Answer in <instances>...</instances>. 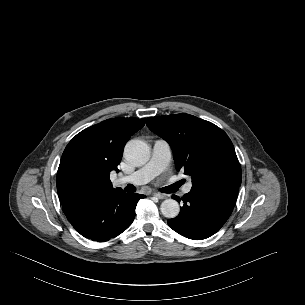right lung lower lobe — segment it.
<instances>
[{"label": "right lung lower lobe", "mask_w": 305, "mask_h": 305, "mask_svg": "<svg viewBox=\"0 0 305 305\" xmlns=\"http://www.w3.org/2000/svg\"><path fill=\"white\" fill-rule=\"evenodd\" d=\"M142 198L145 196L118 190L63 206V212L82 236L103 242L118 236L131 225L137 202Z\"/></svg>", "instance_id": "1"}]
</instances>
